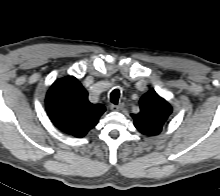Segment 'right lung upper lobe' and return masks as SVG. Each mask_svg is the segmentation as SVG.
<instances>
[{"label":"right lung upper lobe","instance_id":"right-lung-upper-lobe-1","mask_svg":"<svg viewBox=\"0 0 220 196\" xmlns=\"http://www.w3.org/2000/svg\"><path fill=\"white\" fill-rule=\"evenodd\" d=\"M45 105L54 125L78 138L85 136L106 110L104 105L88 101L87 91L74 76L56 80L46 95Z\"/></svg>","mask_w":220,"mask_h":196}]
</instances>
